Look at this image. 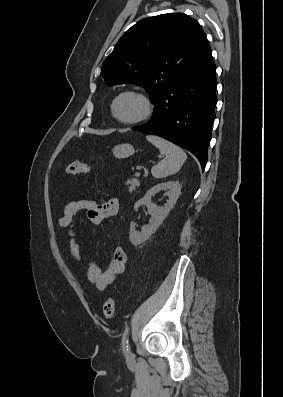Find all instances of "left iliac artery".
I'll list each match as a JSON object with an SVG mask.
<instances>
[{"label":"left iliac artery","mask_w":283,"mask_h":397,"mask_svg":"<svg viewBox=\"0 0 283 397\" xmlns=\"http://www.w3.org/2000/svg\"><path fill=\"white\" fill-rule=\"evenodd\" d=\"M122 347H123L124 354L128 355L129 351H130V347H129V327H126V329L123 332Z\"/></svg>","instance_id":"44dca946"}]
</instances>
